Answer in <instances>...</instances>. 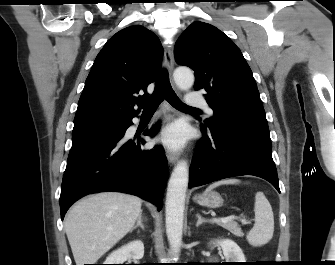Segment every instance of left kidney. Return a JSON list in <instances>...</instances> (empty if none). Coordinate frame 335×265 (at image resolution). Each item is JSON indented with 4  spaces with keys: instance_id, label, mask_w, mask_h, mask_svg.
Listing matches in <instances>:
<instances>
[{
    "instance_id": "5707ae66",
    "label": "left kidney",
    "mask_w": 335,
    "mask_h": 265,
    "mask_svg": "<svg viewBox=\"0 0 335 265\" xmlns=\"http://www.w3.org/2000/svg\"><path fill=\"white\" fill-rule=\"evenodd\" d=\"M213 244L221 246L227 262H245V257L241 248L233 240H216Z\"/></svg>"
}]
</instances>
